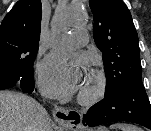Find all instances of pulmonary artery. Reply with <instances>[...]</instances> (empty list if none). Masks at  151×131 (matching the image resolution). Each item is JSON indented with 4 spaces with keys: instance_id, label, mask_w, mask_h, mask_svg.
Here are the masks:
<instances>
[{
    "instance_id": "e3ab8cb5",
    "label": "pulmonary artery",
    "mask_w": 151,
    "mask_h": 131,
    "mask_svg": "<svg viewBox=\"0 0 151 131\" xmlns=\"http://www.w3.org/2000/svg\"><path fill=\"white\" fill-rule=\"evenodd\" d=\"M88 42V34L85 30H77L69 36H65L59 39L57 45L60 47L76 46L81 47Z\"/></svg>"
}]
</instances>
